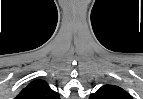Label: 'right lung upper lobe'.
I'll return each instance as SVG.
<instances>
[{
  "label": "right lung upper lobe",
  "instance_id": "obj_1",
  "mask_svg": "<svg viewBox=\"0 0 143 99\" xmlns=\"http://www.w3.org/2000/svg\"><path fill=\"white\" fill-rule=\"evenodd\" d=\"M59 94L53 91L43 80L30 82L15 99H59Z\"/></svg>",
  "mask_w": 143,
  "mask_h": 99
}]
</instances>
